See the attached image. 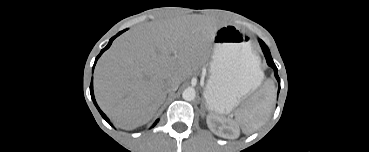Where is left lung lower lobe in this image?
Here are the masks:
<instances>
[{"label":"left lung lower lobe","mask_w":369,"mask_h":152,"mask_svg":"<svg viewBox=\"0 0 369 152\" xmlns=\"http://www.w3.org/2000/svg\"><path fill=\"white\" fill-rule=\"evenodd\" d=\"M259 43L262 47V50L264 52V55L266 57V61H267L268 65L271 66L274 69V74H275L276 79L279 82V89H280V79H279L278 74H277V67L275 66V64L272 60L270 51H269L268 47L266 46V44L262 40H259ZM279 89H278V91H279Z\"/></svg>","instance_id":"left-lung-lower-lobe-1"}]
</instances>
